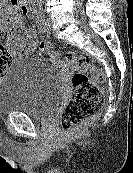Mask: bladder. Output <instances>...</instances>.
Segmentation results:
<instances>
[{
    "label": "bladder",
    "mask_w": 133,
    "mask_h": 173,
    "mask_svg": "<svg viewBox=\"0 0 133 173\" xmlns=\"http://www.w3.org/2000/svg\"><path fill=\"white\" fill-rule=\"evenodd\" d=\"M65 92L60 71L33 58L16 60L0 80V114L25 113L49 121Z\"/></svg>",
    "instance_id": "obj_1"
}]
</instances>
